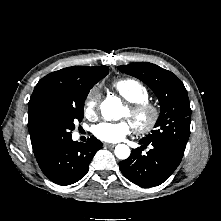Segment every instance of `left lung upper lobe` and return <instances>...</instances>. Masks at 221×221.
Here are the masks:
<instances>
[{
	"mask_svg": "<svg viewBox=\"0 0 221 221\" xmlns=\"http://www.w3.org/2000/svg\"><path fill=\"white\" fill-rule=\"evenodd\" d=\"M118 69L143 81L159 99L160 116L156 129L142 140L184 151L190 136L191 108L181 80L172 72L147 62L122 65Z\"/></svg>",
	"mask_w": 221,
	"mask_h": 221,
	"instance_id": "obj_1",
	"label": "left lung upper lobe"
}]
</instances>
